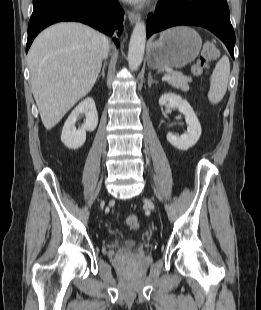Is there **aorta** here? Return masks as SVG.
I'll return each mask as SVG.
<instances>
[{"instance_id": "1", "label": "aorta", "mask_w": 261, "mask_h": 310, "mask_svg": "<svg viewBox=\"0 0 261 310\" xmlns=\"http://www.w3.org/2000/svg\"><path fill=\"white\" fill-rule=\"evenodd\" d=\"M146 43V26L143 22H137L129 43L128 64L132 71L139 68L143 61Z\"/></svg>"}]
</instances>
